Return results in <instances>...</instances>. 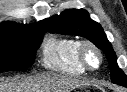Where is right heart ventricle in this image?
Here are the masks:
<instances>
[{
  "label": "right heart ventricle",
  "instance_id": "obj_1",
  "mask_svg": "<svg viewBox=\"0 0 127 92\" xmlns=\"http://www.w3.org/2000/svg\"><path fill=\"white\" fill-rule=\"evenodd\" d=\"M80 41L73 37H48L42 46V66L60 74L79 75L86 70L77 57Z\"/></svg>",
  "mask_w": 127,
  "mask_h": 92
}]
</instances>
